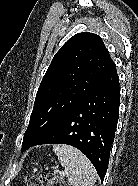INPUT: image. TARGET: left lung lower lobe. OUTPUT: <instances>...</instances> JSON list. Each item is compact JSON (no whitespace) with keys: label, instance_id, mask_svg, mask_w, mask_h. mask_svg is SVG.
Segmentation results:
<instances>
[{"label":"left lung lower lobe","instance_id":"obj_1","mask_svg":"<svg viewBox=\"0 0 138 186\" xmlns=\"http://www.w3.org/2000/svg\"><path fill=\"white\" fill-rule=\"evenodd\" d=\"M119 104V77L115 67L63 120L30 147L41 144L74 146L88 157L103 181L117 127Z\"/></svg>","mask_w":138,"mask_h":186}]
</instances>
